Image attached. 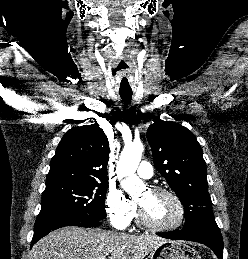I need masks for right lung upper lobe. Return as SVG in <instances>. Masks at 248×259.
Segmentation results:
<instances>
[{
    "label": "right lung upper lobe",
    "instance_id": "right-lung-upper-lobe-1",
    "mask_svg": "<svg viewBox=\"0 0 248 259\" xmlns=\"http://www.w3.org/2000/svg\"><path fill=\"white\" fill-rule=\"evenodd\" d=\"M109 152L108 139L96 124L70 129L51 160L46 184L107 181Z\"/></svg>",
    "mask_w": 248,
    "mask_h": 259
}]
</instances>
